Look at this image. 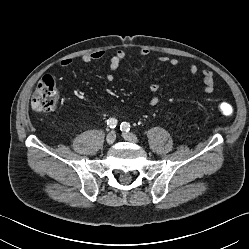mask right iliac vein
I'll return each instance as SVG.
<instances>
[{
  "instance_id": "obj_1",
  "label": "right iliac vein",
  "mask_w": 249,
  "mask_h": 249,
  "mask_svg": "<svg viewBox=\"0 0 249 249\" xmlns=\"http://www.w3.org/2000/svg\"><path fill=\"white\" fill-rule=\"evenodd\" d=\"M115 140H116V133L114 131L108 133V135L106 136L107 144L111 145L115 142Z\"/></svg>"
}]
</instances>
